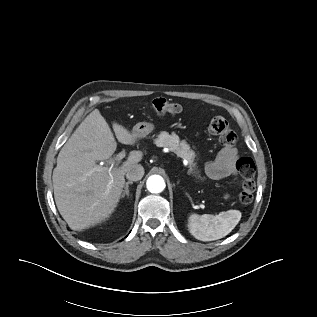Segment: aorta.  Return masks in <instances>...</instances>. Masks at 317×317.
Instances as JSON below:
<instances>
[{
  "mask_svg": "<svg viewBox=\"0 0 317 317\" xmlns=\"http://www.w3.org/2000/svg\"><path fill=\"white\" fill-rule=\"evenodd\" d=\"M146 186L151 193H160L165 189V181L160 175H151L146 182Z\"/></svg>",
  "mask_w": 317,
  "mask_h": 317,
  "instance_id": "aorta-1",
  "label": "aorta"
}]
</instances>
